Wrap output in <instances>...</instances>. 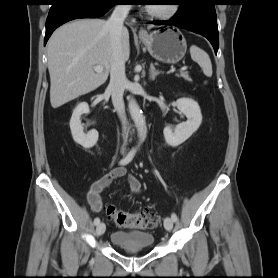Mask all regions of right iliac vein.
Wrapping results in <instances>:
<instances>
[{
	"mask_svg": "<svg viewBox=\"0 0 278 278\" xmlns=\"http://www.w3.org/2000/svg\"><path fill=\"white\" fill-rule=\"evenodd\" d=\"M105 230H106L105 224L104 223H99L96 227L97 236L103 235Z\"/></svg>",
	"mask_w": 278,
	"mask_h": 278,
	"instance_id": "1",
	"label": "right iliac vein"
}]
</instances>
